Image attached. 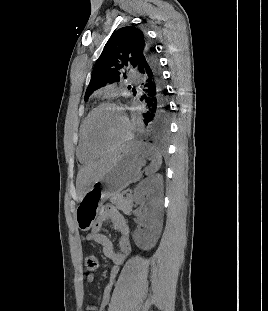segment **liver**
<instances>
[{
	"label": "liver",
	"instance_id": "1",
	"mask_svg": "<svg viewBox=\"0 0 268 311\" xmlns=\"http://www.w3.org/2000/svg\"><path fill=\"white\" fill-rule=\"evenodd\" d=\"M117 155L101 159L96 163L82 168L77 176V186L81 192L80 199L89 189V187L98 179H100L109 166L113 163Z\"/></svg>",
	"mask_w": 268,
	"mask_h": 311
}]
</instances>
